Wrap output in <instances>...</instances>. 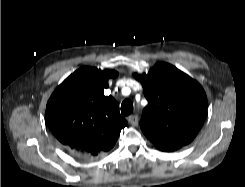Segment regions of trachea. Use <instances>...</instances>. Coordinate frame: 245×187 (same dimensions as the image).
Here are the masks:
<instances>
[{
  "label": "trachea",
  "instance_id": "obj_1",
  "mask_svg": "<svg viewBox=\"0 0 245 187\" xmlns=\"http://www.w3.org/2000/svg\"><path fill=\"white\" fill-rule=\"evenodd\" d=\"M133 112V103L130 100H124L121 104V113L123 116H128Z\"/></svg>",
  "mask_w": 245,
  "mask_h": 187
}]
</instances>
